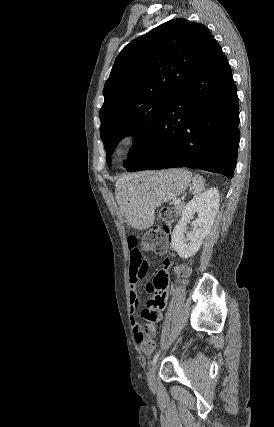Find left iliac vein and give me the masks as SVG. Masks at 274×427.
Masks as SVG:
<instances>
[{"label": "left iliac vein", "mask_w": 274, "mask_h": 427, "mask_svg": "<svg viewBox=\"0 0 274 427\" xmlns=\"http://www.w3.org/2000/svg\"><path fill=\"white\" fill-rule=\"evenodd\" d=\"M158 367H159V362L153 365V367L150 369L147 375L148 385L152 390L156 388V371Z\"/></svg>", "instance_id": "1"}]
</instances>
